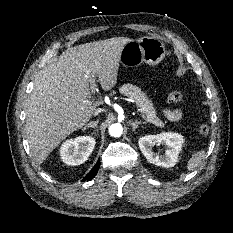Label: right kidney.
I'll use <instances>...</instances> for the list:
<instances>
[{
	"label": "right kidney",
	"instance_id": "ca27d5eb",
	"mask_svg": "<svg viewBox=\"0 0 233 233\" xmlns=\"http://www.w3.org/2000/svg\"><path fill=\"white\" fill-rule=\"evenodd\" d=\"M95 143L91 136L66 140L60 147L62 161L71 166L83 164L92 153Z\"/></svg>",
	"mask_w": 233,
	"mask_h": 233
}]
</instances>
